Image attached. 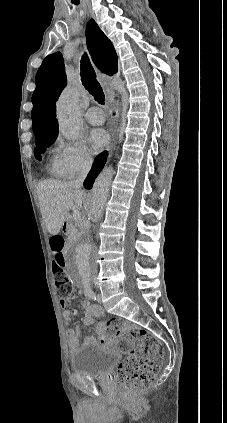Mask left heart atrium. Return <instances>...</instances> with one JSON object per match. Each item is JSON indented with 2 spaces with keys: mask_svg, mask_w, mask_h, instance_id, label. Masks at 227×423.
<instances>
[{
  "mask_svg": "<svg viewBox=\"0 0 227 423\" xmlns=\"http://www.w3.org/2000/svg\"><path fill=\"white\" fill-rule=\"evenodd\" d=\"M109 136L103 129H95L89 135V142L93 152L102 151L108 144Z\"/></svg>",
  "mask_w": 227,
  "mask_h": 423,
  "instance_id": "39dd6f15",
  "label": "left heart atrium"
}]
</instances>
